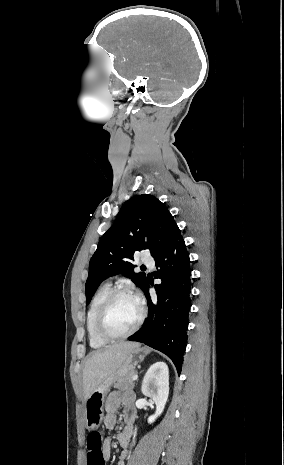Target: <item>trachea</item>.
<instances>
[{
	"label": "trachea",
	"mask_w": 284,
	"mask_h": 465,
	"mask_svg": "<svg viewBox=\"0 0 284 465\" xmlns=\"http://www.w3.org/2000/svg\"><path fill=\"white\" fill-rule=\"evenodd\" d=\"M141 270H146L145 265H142V266H141Z\"/></svg>",
	"instance_id": "1"
}]
</instances>
